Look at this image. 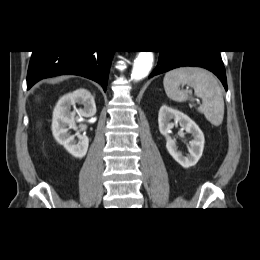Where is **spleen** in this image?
<instances>
[{
  "label": "spleen",
  "instance_id": "spleen-1",
  "mask_svg": "<svg viewBox=\"0 0 260 260\" xmlns=\"http://www.w3.org/2000/svg\"><path fill=\"white\" fill-rule=\"evenodd\" d=\"M163 85L168 98L176 102L188 100L186 93L180 90V86H191L195 96L202 99V105L198 111L203 113L212 125L222 124L224 117L223 93L212 73L200 68H178L165 74Z\"/></svg>",
  "mask_w": 260,
  "mask_h": 260
}]
</instances>
